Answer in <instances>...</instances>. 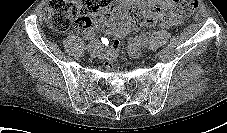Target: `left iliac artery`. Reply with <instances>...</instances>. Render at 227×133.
<instances>
[{"label":"left iliac artery","mask_w":227,"mask_h":133,"mask_svg":"<svg viewBox=\"0 0 227 133\" xmlns=\"http://www.w3.org/2000/svg\"><path fill=\"white\" fill-rule=\"evenodd\" d=\"M130 44L132 45H137L140 46L142 48L146 47V41H142V40H138V39H133L130 41Z\"/></svg>","instance_id":"1"}]
</instances>
